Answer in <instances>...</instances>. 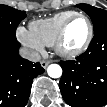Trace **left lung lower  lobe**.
Here are the masks:
<instances>
[{
  "label": "left lung lower lobe",
  "mask_w": 107,
  "mask_h": 107,
  "mask_svg": "<svg viewBox=\"0 0 107 107\" xmlns=\"http://www.w3.org/2000/svg\"><path fill=\"white\" fill-rule=\"evenodd\" d=\"M59 88L71 107H103L107 104V27L94 32L85 53L76 60L61 61Z\"/></svg>",
  "instance_id": "0a47b994"
}]
</instances>
